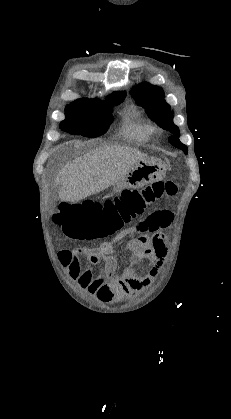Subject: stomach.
Returning <instances> with one entry per match:
<instances>
[{"label": "stomach", "mask_w": 231, "mask_h": 419, "mask_svg": "<svg viewBox=\"0 0 231 419\" xmlns=\"http://www.w3.org/2000/svg\"><path fill=\"white\" fill-rule=\"evenodd\" d=\"M166 175V165L157 158L146 157L139 160L129 172L121 177L115 192L123 189H138L149 183L162 180Z\"/></svg>", "instance_id": "0dacf381"}]
</instances>
